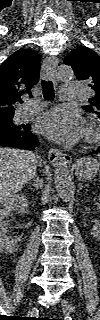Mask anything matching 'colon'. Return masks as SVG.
<instances>
[{
  "label": "colon",
  "instance_id": "colon-1",
  "mask_svg": "<svg viewBox=\"0 0 100 320\" xmlns=\"http://www.w3.org/2000/svg\"><path fill=\"white\" fill-rule=\"evenodd\" d=\"M52 320H60V319H52Z\"/></svg>",
  "mask_w": 100,
  "mask_h": 320
}]
</instances>
